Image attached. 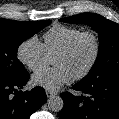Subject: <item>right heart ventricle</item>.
Segmentation results:
<instances>
[{
  "label": "right heart ventricle",
  "mask_w": 119,
  "mask_h": 119,
  "mask_svg": "<svg viewBox=\"0 0 119 119\" xmlns=\"http://www.w3.org/2000/svg\"><path fill=\"white\" fill-rule=\"evenodd\" d=\"M79 32V28L61 24L50 28L43 36V45L49 57H54Z\"/></svg>",
  "instance_id": "e07e8e85"
}]
</instances>
